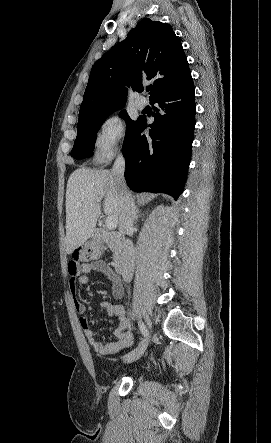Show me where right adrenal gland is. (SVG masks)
<instances>
[{
	"mask_svg": "<svg viewBox=\"0 0 271 443\" xmlns=\"http://www.w3.org/2000/svg\"><path fill=\"white\" fill-rule=\"evenodd\" d=\"M139 208H140V206H137V208L135 210V220H134V223L137 222L138 218H145L144 214H140Z\"/></svg>",
	"mask_w": 271,
	"mask_h": 443,
	"instance_id": "obj_1",
	"label": "right adrenal gland"
}]
</instances>
